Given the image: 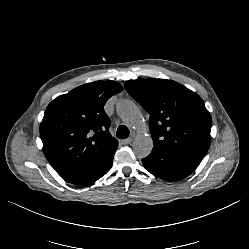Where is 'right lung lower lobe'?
I'll return each mask as SVG.
<instances>
[{
  "label": "right lung lower lobe",
  "instance_id": "right-lung-lower-lobe-1",
  "mask_svg": "<svg viewBox=\"0 0 249 249\" xmlns=\"http://www.w3.org/2000/svg\"><path fill=\"white\" fill-rule=\"evenodd\" d=\"M117 146L86 171L66 181L75 185H89L104 176L111 168Z\"/></svg>",
  "mask_w": 249,
  "mask_h": 249
}]
</instances>
